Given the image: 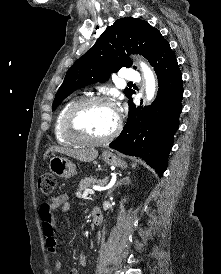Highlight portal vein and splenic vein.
Listing matches in <instances>:
<instances>
[{
    "label": "portal vein and splenic vein",
    "instance_id": "portal-vein-and-splenic-vein-1",
    "mask_svg": "<svg viewBox=\"0 0 221 274\" xmlns=\"http://www.w3.org/2000/svg\"><path fill=\"white\" fill-rule=\"evenodd\" d=\"M103 188L101 187H93L92 189H86L82 195L83 198H86L88 194H94L95 191H99V190H102Z\"/></svg>",
    "mask_w": 221,
    "mask_h": 274
}]
</instances>
